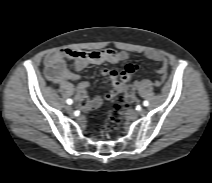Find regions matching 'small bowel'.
Instances as JSON below:
<instances>
[{
    "label": "small bowel",
    "instance_id": "1",
    "mask_svg": "<svg viewBox=\"0 0 212 183\" xmlns=\"http://www.w3.org/2000/svg\"><path fill=\"white\" fill-rule=\"evenodd\" d=\"M146 57L150 60L162 63L158 69V73L164 79L167 74V63L163 54L157 51H149L146 53ZM127 59H129L128 52L117 51L114 49L90 52L62 49L46 56V76L51 82L56 84L65 81L78 80L79 76L70 70V65L67 63V60H71L72 68L78 71L90 64H117ZM137 68V65L129 63L120 72L114 69H103L101 72L102 77L111 86V91L105 96V98L111 99L118 93L122 92ZM88 86L89 83L86 81L79 83L77 86V97L81 101L83 108H88L91 105H98L100 103L99 97L94 98L90 103L85 101Z\"/></svg>",
    "mask_w": 212,
    "mask_h": 183
}]
</instances>
